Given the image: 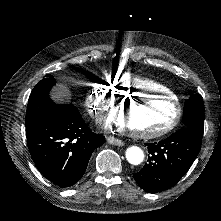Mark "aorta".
Masks as SVG:
<instances>
[{"instance_id":"aorta-1","label":"aorta","mask_w":221,"mask_h":221,"mask_svg":"<svg viewBox=\"0 0 221 221\" xmlns=\"http://www.w3.org/2000/svg\"><path fill=\"white\" fill-rule=\"evenodd\" d=\"M125 156L127 161L132 165H139L144 160V152L138 146L128 147L125 152Z\"/></svg>"}]
</instances>
